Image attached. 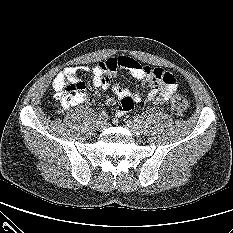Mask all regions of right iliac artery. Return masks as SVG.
<instances>
[{
  "instance_id": "1",
  "label": "right iliac artery",
  "mask_w": 233,
  "mask_h": 233,
  "mask_svg": "<svg viewBox=\"0 0 233 233\" xmlns=\"http://www.w3.org/2000/svg\"><path fill=\"white\" fill-rule=\"evenodd\" d=\"M106 117H107V114H106L105 111H102V112L99 113V118L100 119H105Z\"/></svg>"
}]
</instances>
